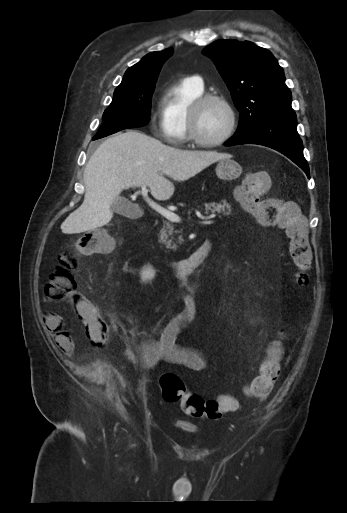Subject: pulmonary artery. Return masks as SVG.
Segmentation results:
<instances>
[{
	"label": "pulmonary artery",
	"instance_id": "pulmonary-artery-1",
	"mask_svg": "<svg viewBox=\"0 0 347 513\" xmlns=\"http://www.w3.org/2000/svg\"><path fill=\"white\" fill-rule=\"evenodd\" d=\"M188 79H190L198 87L203 88V79L200 76L194 75V76H190Z\"/></svg>",
	"mask_w": 347,
	"mask_h": 513
}]
</instances>
